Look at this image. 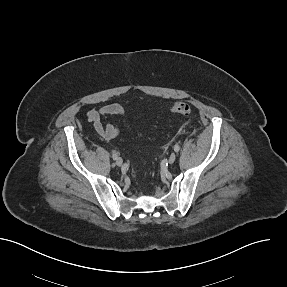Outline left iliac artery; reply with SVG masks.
<instances>
[{"instance_id": "left-iliac-artery-1", "label": "left iliac artery", "mask_w": 287, "mask_h": 287, "mask_svg": "<svg viewBox=\"0 0 287 287\" xmlns=\"http://www.w3.org/2000/svg\"><path fill=\"white\" fill-rule=\"evenodd\" d=\"M180 150V146L178 145V144H176L175 146H174V151L175 152H178Z\"/></svg>"}]
</instances>
